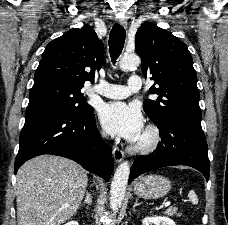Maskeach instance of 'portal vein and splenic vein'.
Listing matches in <instances>:
<instances>
[{
  "label": "portal vein and splenic vein",
  "instance_id": "1",
  "mask_svg": "<svg viewBox=\"0 0 228 225\" xmlns=\"http://www.w3.org/2000/svg\"><path fill=\"white\" fill-rule=\"evenodd\" d=\"M175 201L176 202H183V197H176L175 198ZM170 204H171V201L170 200H167L166 202H163L162 203V206L163 207H168Z\"/></svg>",
  "mask_w": 228,
  "mask_h": 225
}]
</instances>
